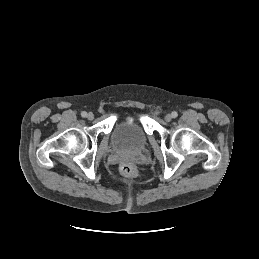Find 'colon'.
<instances>
[{"instance_id": "5ec220e1", "label": "colon", "mask_w": 259, "mask_h": 259, "mask_svg": "<svg viewBox=\"0 0 259 259\" xmlns=\"http://www.w3.org/2000/svg\"><path fill=\"white\" fill-rule=\"evenodd\" d=\"M120 171L123 175L129 177L135 176L137 174L135 166L128 162H124L120 165Z\"/></svg>"}]
</instances>
